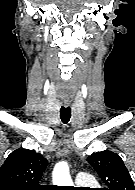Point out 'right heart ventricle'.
<instances>
[{"label":"right heart ventricle","instance_id":"1","mask_svg":"<svg viewBox=\"0 0 135 190\" xmlns=\"http://www.w3.org/2000/svg\"><path fill=\"white\" fill-rule=\"evenodd\" d=\"M91 185H96V183H95V182H93Z\"/></svg>","mask_w":135,"mask_h":190}]
</instances>
